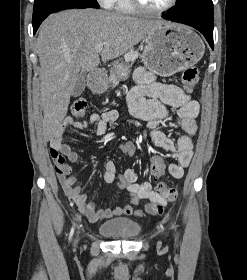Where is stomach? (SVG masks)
<instances>
[{"label":"stomach","instance_id":"stomach-1","mask_svg":"<svg viewBox=\"0 0 247 280\" xmlns=\"http://www.w3.org/2000/svg\"><path fill=\"white\" fill-rule=\"evenodd\" d=\"M142 62L152 72L161 76H171L194 66L203 56L205 46L202 39L189 27L166 23L155 28L145 38ZM116 73L126 78L129 66L115 64ZM106 81L92 84L94 91H105Z\"/></svg>","mask_w":247,"mask_h":280}]
</instances>
